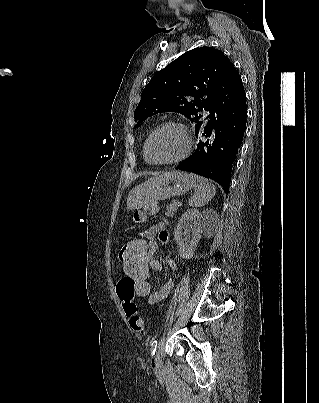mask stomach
I'll return each mask as SVG.
<instances>
[{
	"label": "stomach",
	"instance_id": "stomach-1",
	"mask_svg": "<svg viewBox=\"0 0 319 403\" xmlns=\"http://www.w3.org/2000/svg\"><path fill=\"white\" fill-rule=\"evenodd\" d=\"M194 186L195 181L186 172H166L133 188L127 198V207L140 209L154 200L183 195Z\"/></svg>",
	"mask_w": 319,
	"mask_h": 403
}]
</instances>
